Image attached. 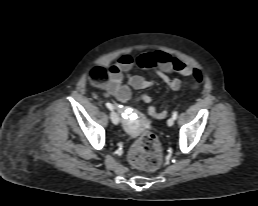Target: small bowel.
<instances>
[{"label": "small bowel", "instance_id": "1", "mask_svg": "<svg viewBox=\"0 0 258 206\" xmlns=\"http://www.w3.org/2000/svg\"><path fill=\"white\" fill-rule=\"evenodd\" d=\"M134 67L153 69L161 76L167 86L174 91L180 89L182 81L178 76H170L172 73L183 77H191L194 87H197L202 81L201 70L187 65L178 58L163 51L144 53L137 58H133L130 55H122L109 68L108 79L104 85L107 93L120 102H126L130 97V88L123 82L125 77L129 85L135 89H145L153 85L152 80L132 74L131 71ZM143 100L147 103L151 101L148 95H144ZM149 112L155 118H163L165 116V112H157L153 106L150 107Z\"/></svg>", "mask_w": 258, "mask_h": 206}]
</instances>
